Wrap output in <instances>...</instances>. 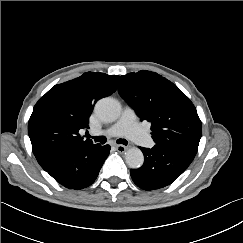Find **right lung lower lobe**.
<instances>
[{"instance_id":"98d812e1","label":"right lung lower lobe","mask_w":243,"mask_h":243,"mask_svg":"<svg viewBox=\"0 0 243 243\" xmlns=\"http://www.w3.org/2000/svg\"><path fill=\"white\" fill-rule=\"evenodd\" d=\"M109 151V145L100 144L54 148L42 152L36 159L58 183L66 188L79 190L95 181Z\"/></svg>"}]
</instances>
